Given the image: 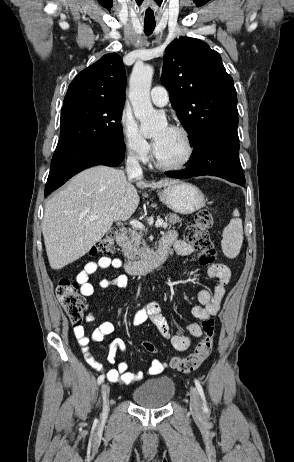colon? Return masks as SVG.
Instances as JSON below:
<instances>
[{"instance_id": "1", "label": "colon", "mask_w": 294, "mask_h": 462, "mask_svg": "<svg viewBox=\"0 0 294 462\" xmlns=\"http://www.w3.org/2000/svg\"><path fill=\"white\" fill-rule=\"evenodd\" d=\"M213 224V217L208 209L199 210L193 222L186 227L185 239L197 253L199 263L203 266L211 265L215 261L214 245L209 237V229ZM115 230H110L91 249V254H103L111 256L115 253L114 237ZM56 295L62 304L71 323L80 326L84 318V298L78 290L77 282L68 278L59 281ZM203 336L194 348V351L185 358L173 357L170 365L174 370L188 374L198 369L209 357L213 348L214 320H202ZM143 348L149 353H156L153 343L145 341Z\"/></svg>"}]
</instances>
